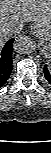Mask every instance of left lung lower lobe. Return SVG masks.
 Segmentation results:
<instances>
[{
	"label": "left lung lower lobe",
	"mask_w": 51,
	"mask_h": 153,
	"mask_svg": "<svg viewBox=\"0 0 51 153\" xmlns=\"http://www.w3.org/2000/svg\"><path fill=\"white\" fill-rule=\"evenodd\" d=\"M43 70H44V75H45L46 79L48 80V82L51 83V74L49 73L47 67L44 66V69Z\"/></svg>",
	"instance_id": "1"
}]
</instances>
